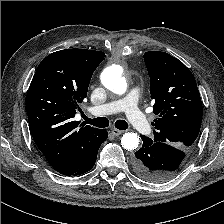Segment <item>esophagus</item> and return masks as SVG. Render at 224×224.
<instances>
[{
  "mask_svg": "<svg viewBox=\"0 0 224 224\" xmlns=\"http://www.w3.org/2000/svg\"><path fill=\"white\" fill-rule=\"evenodd\" d=\"M124 131L122 130H118V129H115V128H112L111 129V133L114 135V136H118V135H121Z\"/></svg>",
  "mask_w": 224,
  "mask_h": 224,
  "instance_id": "obj_1",
  "label": "esophagus"
}]
</instances>
